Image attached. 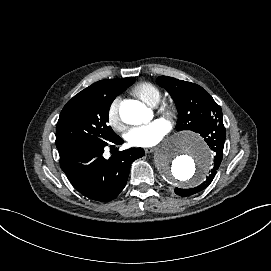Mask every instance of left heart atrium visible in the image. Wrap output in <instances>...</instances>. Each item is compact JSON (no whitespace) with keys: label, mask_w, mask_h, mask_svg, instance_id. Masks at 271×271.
I'll use <instances>...</instances> for the list:
<instances>
[{"label":"left heart atrium","mask_w":271,"mask_h":271,"mask_svg":"<svg viewBox=\"0 0 271 271\" xmlns=\"http://www.w3.org/2000/svg\"><path fill=\"white\" fill-rule=\"evenodd\" d=\"M170 131L169 123L164 119H156L149 124L133 128L127 135L133 146L152 147L160 143Z\"/></svg>","instance_id":"left-heart-atrium-1"}]
</instances>
